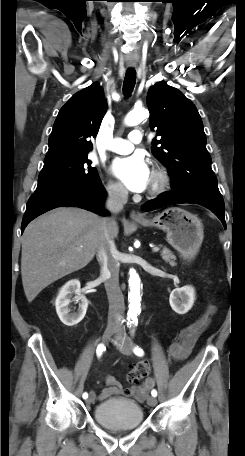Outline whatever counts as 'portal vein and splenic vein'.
Instances as JSON below:
<instances>
[{
    "mask_svg": "<svg viewBox=\"0 0 245 456\" xmlns=\"http://www.w3.org/2000/svg\"><path fill=\"white\" fill-rule=\"evenodd\" d=\"M159 250H160L159 247H153V248H152V251H153V252H158Z\"/></svg>",
    "mask_w": 245,
    "mask_h": 456,
    "instance_id": "18ae733b",
    "label": "portal vein and splenic vein"
}]
</instances>
